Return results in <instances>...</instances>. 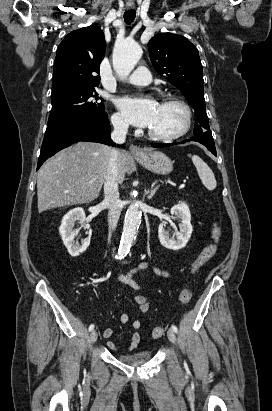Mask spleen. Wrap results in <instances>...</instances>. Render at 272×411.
Here are the masks:
<instances>
[{"label": "spleen", "instance_id": "1", "mask_svg": "<svg viewBox=\"0 0 272 411\" xmlns=\"http://www.w3.org/2000/svg\"><path fill=\"white\" fill-rule=\"evenodd\" d=\"M189 157H191L203 185L208 190H214L217 186V183L210 167L197 155H189Z\"/></svg>", "mask_w": 272, "mask_h": 411}]
</instances>
